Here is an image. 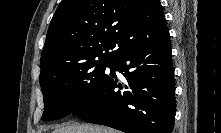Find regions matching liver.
Returning a JSON list of instances; mask_svg holds the SVG:
<instances>
[{
  "label": "liver",
  "mask_w": 221,
  "mask_h": 133,
  "mask_svg": "<svg viewBox=\"0 0 221 133\" xmlns=\"http://www.w3.org/2000/svg\"><path fill=\"white\" fill-rule=\"evenodd\" d=\"M52 133H118L116 130L96 125L67 123L54 129Z\"/></svg>",
  "instance_id": "obj_1"
}]
</instances>
